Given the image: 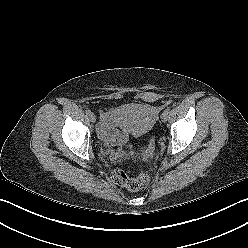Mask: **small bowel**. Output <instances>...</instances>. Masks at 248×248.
I'll return each instance as SVG.
<instances>
[{"label": "small bowel", "mask_w": 248, "mask_h": 248, "mask_svg": "<svg viewBox=\"0 0 248 248\" xmlns=\"http://www.w3.org/2000/svg\"><path fill=\"white\" fill-rule=\"evenodd\" d=\"M98 134L106 146H116L126 143L130 133L118 123L116 110L109 109L100 116Z\"/></svg>", "instance_id": "1"}]
</instances>
